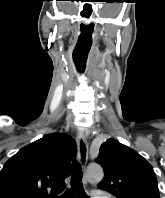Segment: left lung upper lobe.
<instances>
[{"mask_svg":"<svg viewBox=\"0 0 165 198\" xmlns=\"http://www.w3.org/2000/svg\"><path fill=\"white\" fill-rule=\"evenodd\" d=\"M96 162L105 172L98 188L117 198H160L153 167L119 141L108 139L104 142Z\"/></svg>","mask_w":165,"mask_h":198,"instance_id":"obj_1","label":"left lung upper lobe"}]
</instances>
